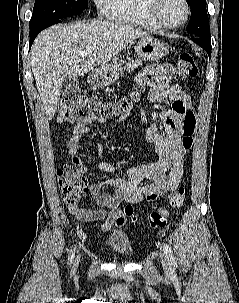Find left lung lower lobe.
Masks as SVG:
<instances>
[{
	"label": "left lung lower lobe",
	"mask_w": 239,
	"mask_h": 303,
	"mask_svg": "<svg viewBox=\"0 0 239 303\" xmlns=\"http://www.w3.org/2000/svg\"><path fill=\"white\" fill-rule=\"evenodd\" d=\"M195 43L201 46L211 56V38L193 37L191 38Z\"/></svg>",
	"instance_id": "0a47b994"
}]
</instances>
